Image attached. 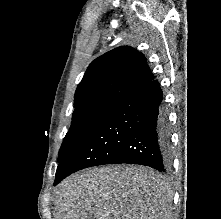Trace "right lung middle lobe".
<instances>
[{"label":"right lung middle lobe","mask_w":221,"mask_h":219,"mask_svg":"<svg viewBox=\"0 0 221 219\" xmlns=\"http://www.w3.org/2000/svg\"><path fill=\"white\" fill-rule=\"evenodd\" d=\"M120 102L118 99H100L75 106L71 127L59 150L58 163L83 143Z\"/></svg>","instance_id":"right-lung-middle-lobe-1"}]
</instances>
